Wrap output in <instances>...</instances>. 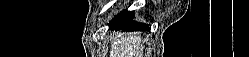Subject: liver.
<instances>
[{"label":"liver","mask_w":249,"mask_h":57,"mask_svg":"<svg viewBox=\"0 0 249 57\" xmlns=\"http://www.w3.org/2000/svg\"><path fill=\"white\" fill-rule=\"evenodd\" d=\"M110 55V57H142L141 37L133 33L115 37Z\"/></svg>","instance_id":"1"}]
</instances>
